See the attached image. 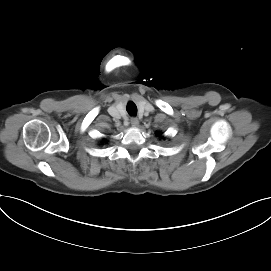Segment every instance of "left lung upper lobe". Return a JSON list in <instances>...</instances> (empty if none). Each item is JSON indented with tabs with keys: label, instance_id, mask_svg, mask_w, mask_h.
<instances>
[{
	"label": "left lung upper lobe",
	"instance_id": "1",
	"mask_svg": "<svg viewBox=\"0 0 271 271\" xmlns=\"http://www.w3.org/2000/svg\"><path fill=\"white\" fill-rule=\"evenodd\" d=\"M157 135H158V136H160V135H161V133H157Z\"/></svg>",
	"mask_w": 271,
	"mask_h": 271
}]
</instances>
